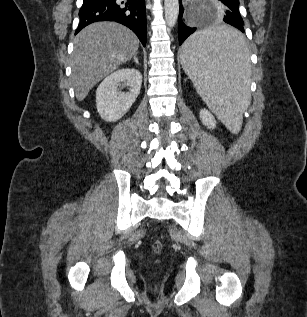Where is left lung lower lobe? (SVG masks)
Here are the masks:
<instances>
[{"label": "left lung lower lobe", "mask_w": 307, "mask_h": 317, "mask_svg": "<svg viewBox=\"0 0 307 317\" xmlns=\"http://www.w3.org/2000/svg\"><path fill=\"white\" fill-rule=\"evenodd\" d=\"M222 3V9L224 13L223 21L229 25H232L244 33V22L240 15V12L232 6L227 0H218ZM185 7L182 5L180 0L179 9V45H181L185 39L196 31L197 27H193L191 22H184L183 13ZM240 32L241 37L235 39L226 40L222 44V51L227 55L235 56L242 48L244 36Z\"/></svg>", "instance_id": "0a47b994"}]
</instances>
